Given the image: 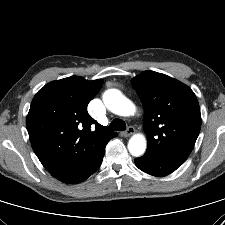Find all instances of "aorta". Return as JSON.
I'll use <instances>...</instances> for the list:
<instances>
[{"label": "aorta", "instance_id": "obj_1", "mask_svg": "<svg viewBox=\"0 0 225 225\" xmlns=\"http://www.w3.org/2000/svg\"><path fill=\"white\" fill-rule=\"evenodd\" d=\"M103 102L112 113L119 116H130L135 112V105L119 90L109 89L103 94ZM146 138L142 134L133 135L128 142V150L132 156L139 157L146 151Z\"/></svg>", "mask_w": 225, "mask_h": 225}]
</instances>
